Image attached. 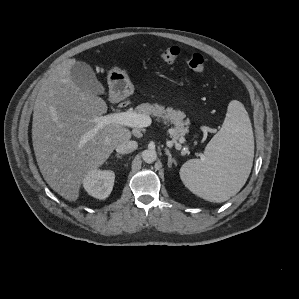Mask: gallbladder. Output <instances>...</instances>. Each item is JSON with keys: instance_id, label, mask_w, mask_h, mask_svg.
Segmentation results:
<instances>
[{"instance_id": "obj_1", "label": "gallbladder", "mask_w": 299, "mask_h": 299, "mask_svg": "<svg viewBox=\"0 0 299 299\" xmlns=\"http://www.w3.org/2000/svg\"><path fill=\"white\" fill-rule=\"evenodd\" d=\"M71 80L82 90L96 95L104 93V87L98 81L93 69L85 62L77 61L70 69Z\"/></svg>"}]
</instances>
